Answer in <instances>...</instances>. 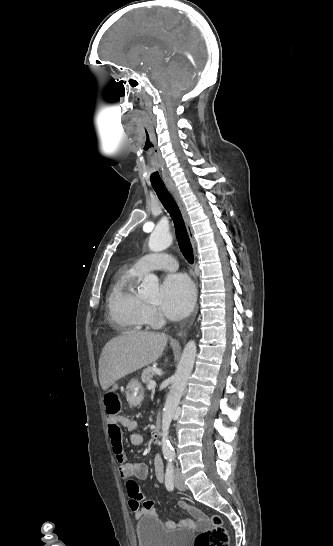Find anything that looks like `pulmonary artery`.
<instances>
[{"mask_svg": "<svg viewBox=\"0 0 333 546\" xmlns=\"http://www.w3.org/2000/svg\"><path fill=\"white\" fill-rule=\"evenodd\" d=\"M133 267L141 273H146L152 270H168L174 271L178 264L176 259L165 253L148 254L140 257Z\"/></svg>", "mask_w": 333, "mask_h": 546, "instance_id": "e3ab8cb5", "label": "pulmonary artery"}]
</instances>
